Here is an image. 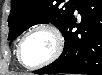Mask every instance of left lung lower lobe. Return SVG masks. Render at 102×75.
Masks as SVG:
<instances>
[{"label": "left lung lower lobe", "mask_w": 102, "mask_h": 75, "mask_svg": "<svg viewBox=\"0 0 102 75\" xmlns=\"http://www.w3.org/2000/svg\"><path fill=\"white\" fill-rule=\"evenodd\" d=\"M76 10L81 15L80 24H76ZM74 12L60 29L65 38L62 54L34 73L102 75V0H80Z\"/></svg>", "instance_id": "1"}]
</instances>
